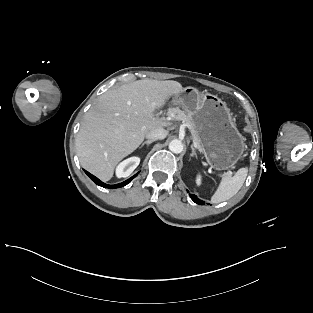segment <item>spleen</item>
<instances>
[{
	"label": "spleen",
	"mask_w": 313,
	"mask_h": 313,
	"mask_svg": "<svg viewBox=\"0 0 313 313\" xmlns=\"http://www.w3.org/2000/svg\"><path fill=\"white\" fill-rule=\"evenodd\" d=\"M248 168H240L233 177H223L219 183L218 188L211 197V203L218 204L229 200L243 186L247 177Z\"/></svg>",
	"instance_id": "1"
}]
</instances>
